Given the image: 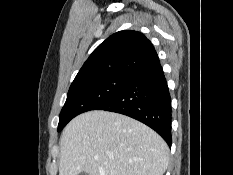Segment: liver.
Wrapping results in <instances>:
<instances>
[{"label": "liver", "mask_w": 233, "mask_h": 175, "mask_svg": "<svg viewBox=\"0 0 233 175\" xmlns=\"http://www.w3.org/2000/svg\"><path fill=\"white\" fill-rule=\"evenodd\" d=\"M59 175H163L169 148L151 128L126 115L89 111L60 137Z\"/></svg>", "instance_id": "1"}]
</instances>
